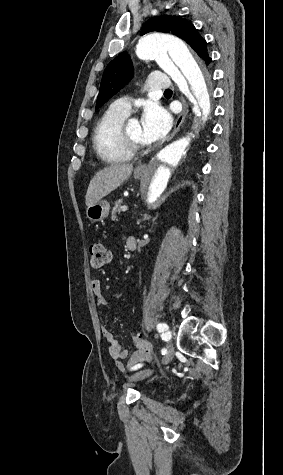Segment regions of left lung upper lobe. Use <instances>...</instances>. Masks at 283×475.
I'll use <instances>...</instances> for the list:
<instances>
[{
  "instance_id": "left-lung-upper-lobe-1",
  "label": "left lung upper lobe",
  "mask_w": 283,
  "mask_h": 475,
  "mask_svg": "<svg viewBox=\"0 0 283 475\" xmlns=\"http://www.w3.org/2000/svg\"><path fill=\"white\" fill-rule=\"evenodd\" d=\"M152 31L170 33L180 37L204 60L207 52V43L199 35L194 25L186 19L170 15L154 17L144 24L141 35ZM132 76V62L129 55L123 52L109 63L103 73L96 109L107 102L119 89L123 88Z\"/></svg>"
}]
</instances>
